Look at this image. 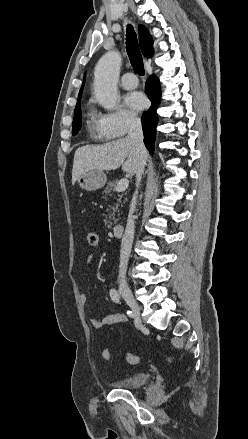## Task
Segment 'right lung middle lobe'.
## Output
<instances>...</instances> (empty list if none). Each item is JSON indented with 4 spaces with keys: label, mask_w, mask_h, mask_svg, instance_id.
<instances>
[{
    "label": "right lung middle lobe",
    "mask_w": 248,
    "mask_h": 439,
    "mask_svg": "<svg viewBox=\"0 0 248 439\" xmlns=\"http://www.w3.org/2000/svg\"><path fill=\"white\" fill-rule=\"evenodd\" d=\"M81 123H82L81 109H78L74 113V119H73V124H72V134L73 135H76L78 133V131L81 128Z\"/></svg>",
    "instance_id": "dd1d6c3e"
}]
</instances>
